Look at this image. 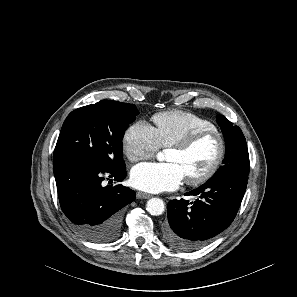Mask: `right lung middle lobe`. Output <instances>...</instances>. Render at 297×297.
Returning <instances> with one entry per match:
<instances>
[{
  "instance_id": "right-lung-middle-lobe-1",
  "label": "right lung middle lobe",
  "mask_w": 297,
  "mask_h": 297,
  "mask_svg": "<svg viewBox=\"0 0 297 297\" xmlns=\"http://www.w3.org/2000/svg\"><path fill=\"white\" fill-rule=\"evenodd\" d=\"M139 114L133 104L102 100L66 118L53 159L85 160L107 170L124 169L122 138Z\"/></svg>"
}]
</instances>
